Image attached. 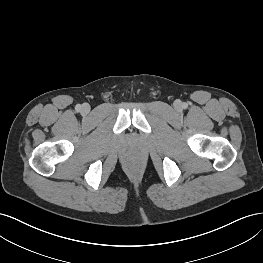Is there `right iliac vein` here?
Segmentation results:
<instances>
[{"label": "right iliac vein", "instance_id": "63e3f726", "mask_svg": "<svg viewBox=\"0 0 263 263\" xmlns=\"http://www.w3.org/2000/svg\"><path fill=\"white\" fill-rule=\"evenodd\" d=\"M81 113L83 114V115H87V114H89V112H90V106H89V104H87V103H85V104H83L82 106H81Z\"/></svg>", "mask_w": 263, "mask_h": 263}]
</instances>
